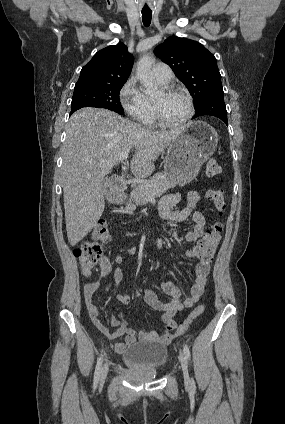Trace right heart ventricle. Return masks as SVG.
<instances>
[{
  "label": "right heart ventricle",
  "mask_w": 285,
  "mask_h": 424,
  "mask_svg": "<svg viewBox=\"0 0 285 424\" xmlns=\"http://www.w3.org/2000/svg\"><path fill=\"white\" fill-rule=\"evenodd\" d=\"M146 100H147L148 111H147V116L144 120V123L149 126H156L157 120L155 118L154 103L151 99L146 98Z\"/></svg>",
  "instance_id": "e07e8e85"
}]
</instances>
